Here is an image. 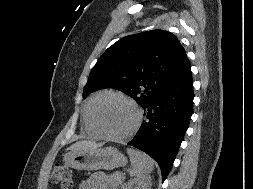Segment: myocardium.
I'll list each match as a JSON object with an SVG mask.
<instances>
[{"label":"myocardium","instance_id":"myocardium-1","mask_svg":"<svg viewBox=\"0 0 253 189\" xmlns=\"http://www.w3.org/2000/svg\"><path fill=\"white\" fill-rule=\"evenodd\" d=\"M105 97H117V98L125 101L126 103H128L135 111V122H134L132 128L127 133H125L123 135L109 134L98 123V121L96 119V115H95L96 105L102 98H105ZM89 117H90V122H91L93 128L98 132V134L101 137L108 139V140H112V141H125V140L131 138L132 136H134L136 134V132L139 130L141 123H142V119H143V113H142V110L139 107V105L129 96H127L121 92L105 91V92H102L94 97V99L91 103L90 109H89Z\"/></svg>","mask_w":253,"mask_h":189}]
</instances>
